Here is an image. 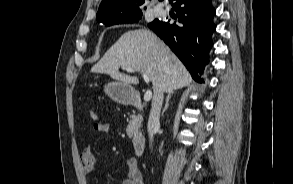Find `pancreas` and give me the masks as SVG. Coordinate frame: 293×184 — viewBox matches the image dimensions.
Segmentation results:
<instances>
[{
  "label": "pancreas",
  "mask_w": 293,
  "mask_h": 184,
  "mask_svg": "<svg viewBox=\"0 0 293 184\" xmlns=\"http://www.w3.org/2000/svg\"><path fill=\"white\" fill-rule=\"evenodd\" d=\"M141 122H142L141 115L136 116L135 114H133L130 116V121L126 128V133L129 138L133 137L135 134L139 132Z\"/></svg>",
  "instance_id": "pancreas-1"
}]
</instances>
